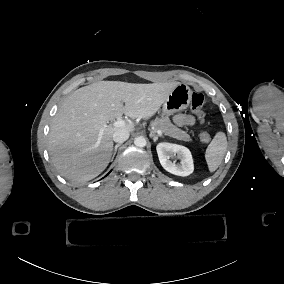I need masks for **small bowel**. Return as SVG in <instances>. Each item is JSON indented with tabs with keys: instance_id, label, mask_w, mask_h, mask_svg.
<instances>
[{
	"instance_id": "small-bowel-1",
	"label": "small bowel",
	"mask_w": 284,
	"mask_h": 284,
	"mask_svg": "<svg viewBox=\"0 0 284 284\" xmlns=\"http://www.w3.org/2000/svg\"><path fill=\"white\" fill-rule=\"evenodd\" d=\"M173 121L178 126L195 124V118L190 114H177L173 117Z\"/></svg>"
}]
</instances>
